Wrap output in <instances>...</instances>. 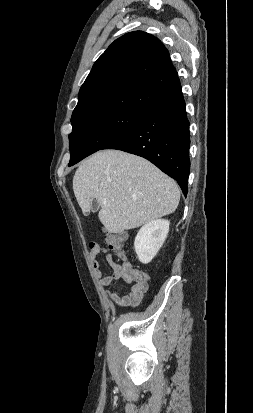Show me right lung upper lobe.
<instances>
[{
	"label": "right lung upper lobe",
	"mask_w": 253,
	"mask_h": 413,
	"mask_svg": "<svg viewBox=\"0 0 253 413\" xmlns=\"http://www.w3.org/2000/svg\"><path fill=\"white\" fill-rule=\"evenodd\" d=\"M181 96L168 50L158 38L134 31L97 59L80 88L71 122L111 110L148 114Z\"/></svg>",
	"instance_id": "cb5924a9"
}]
</instances>
